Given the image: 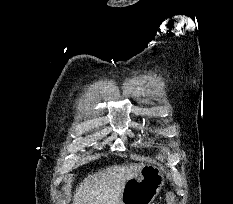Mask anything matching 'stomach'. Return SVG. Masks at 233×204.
Segmentation results:
<instances>
[{"label":"stomach","instance_id":"stomach-1","mask_svg":"<svg viewBox=\"0 0 233 204\" xmlns=\"http://www.w3.org/2000/svg\"><path fill=\"white\" fill-rule=\"evenodd\" d=\"M163 185V171L155 165L144 164L138 176L125 183L121 204H151Z\"/></svg>","mask_w":233,"mask_h":204}]
</instances>
